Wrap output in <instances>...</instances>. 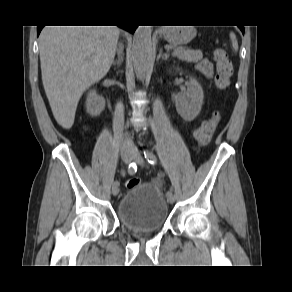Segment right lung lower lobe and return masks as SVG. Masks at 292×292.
I'll return each instance as SVG.
<instances>
[{
    "label": "right lung lower lobe",
    "instance_id": "1",
    "mask_svg": "<svg viewBox=\"0 0 292 292\" xmlns=\"http://www.w3.org/2000/svg\"><path fill=\"white\" fill-rule=\"evenodd\" d=\"M119 27L131 32V33H134L135 29L137 28V26L135 25H129V24H124V25H120ZM43 26H37V35L40 34V31L42 30Z\"/></svg>",
    "mask_w": 292,
    "mask_h": 292
}]
</instances>
